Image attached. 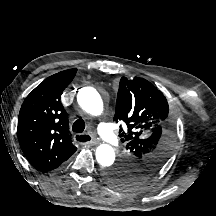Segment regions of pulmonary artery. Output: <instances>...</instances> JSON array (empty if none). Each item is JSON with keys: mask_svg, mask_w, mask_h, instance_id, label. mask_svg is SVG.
Masks as SVG:
<instances>
[{"mask_svg": "<svg viewBox=\"0 0 216 216\" xmlns=\"http://www.w3.org/2000/svg\"><path fill=\"white\" fill-rule=\"evenodd\" d=\"M98 132L102 136L103 139H105L108 143L114 145L117 143V137L107 122H100L98 125Z\"/></svg>", "mask_w": 216, "mask_h": 216, "instance_id": "1", "label": "pulmonary artery"}]
</instances>
